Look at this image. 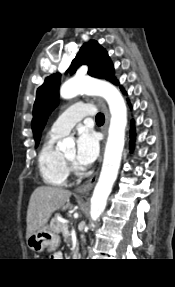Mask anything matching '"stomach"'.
<instances>
[{
	"label": "stomach",
	"mask_w": 175,
	"mask_h": 287,
	"mask_svg": "<svg viewBox=\"0 0 175 287\" xmlns=\"http://www.w3.org/2000/svg\"><path fill=\"white\" fill-rule=\"evenodd\" d=\"M26 243L34 252H41L46 248L48 251H54L59 246L60 239L56 233L45 226L28 236Z\"/></svg>",
	"instance_id": "0dacf381"
}]
</instances>
